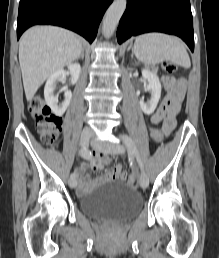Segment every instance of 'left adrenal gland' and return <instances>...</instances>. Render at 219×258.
Wrapping results in <instances>:
<instances>
[{"label":"left adrenal gland","mask_w":219,"mask_h":258,"mask_svg":"<svg viewBox=\"0 0 219 258\" xmlns=\"http://www.w3.org/2000/svg\"><path fill=\"white\" fill-rule=\"evenodd\" d=\"M130 49H131V45L128 47V49H127V50L129 51Z\"/></svg>","instance_id":"a2214340"}]
</instances>
